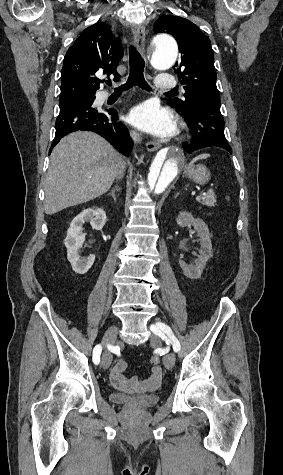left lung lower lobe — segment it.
I'll return each instance as SVG.
<instances>
[{"label":"left lung lower lobe","mask_w":283,"mask_h":475,"mask_svg":"<svg viewBox=\"0 0 283 475\" xmlns=\"http://www.w3.org/2000/svg\"><path fill=\"white\" fill-rule=\"evenodd\" d=\"M192 139L183 145L186 153L191 154L204 147L216 146L232 152L224 135V119L220 112V99L204 97L197 99L191 111L183 113Z\"/></svg>","instance_id":"1"}]
</instances>
